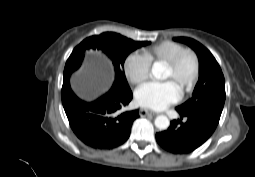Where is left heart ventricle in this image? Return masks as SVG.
<instances>
[{"label":"left heart ventricle","instance_id":"left-heart-ventricle-1","mask_svg":"<svg viewBox=\"0 0 255 177\" xmlns=\"http://www.w3.org/2000/svg\"><path fill=\"white\" fill-rule=\"evenodd\" d=\"M193 73V60L187 56L182 61L180 67L176 71H171L169 68L164 67L163 79L170 80L180 90L183 88Z\"/></svg>","mask_w":255,"mask_h":177}]
</instances>
